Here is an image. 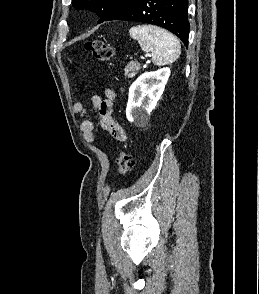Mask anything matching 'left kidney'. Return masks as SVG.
Returning <instances> with one entry per match:
<instances>
[{
	"mask_svg": "<svg viewBox=\"0 0 259 294\" xmlns=\"http://www.w3.org/2000/svg\"><path fill=\"white\" fill-rule=\"evenodd\" d=\"M170 76V69L164 67L146 72L137 78L129 88L126 117L128 121L142 124L148 119L161 98Z\"/></svg>",
	"mask_w": 259,
	"mask_h": 294,
	"instance_id": "5707ae66",
	"label": "left kidney"
}]
</instances>
